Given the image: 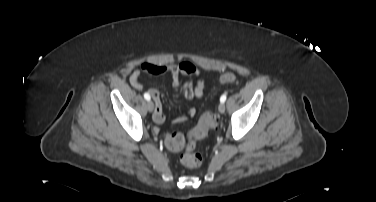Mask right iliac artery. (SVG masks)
<instances>
[{"label":"right iliac artery","instance_id":"right-iliac-artery-1","mask_svg":"<svg viewBox=\"0 0 376 202\" xmlns=\"http://www.w3.org/2000/svg\"><path fill=\"white\" fill-rule=\"evenodd\" d=\"M144 98L149 101L151 97L148 93H144Z\"/></svg>","mask_w":376,"mask_h":202}]
</instances>
